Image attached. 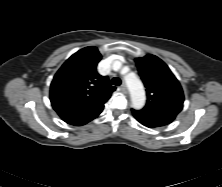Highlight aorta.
Here are the masks:
<instances>
[{
  "label": "aorta",
  "mask_w": 222,
  "mask_h": 187,
  "mask_svg": "<svg viewBox=\"0 0 222 187\" xmlns=\"http://www.w3.org/2000/svg\"><path fill=\"white\" fill-rule=\"evenodd\" d=\"M125 82L130 92L132 107L137 110L143 108L146 96L140 79L136 75L126 76Z\"/></svg>",
  "instance_id": "obj_1"
}]
</instances>
